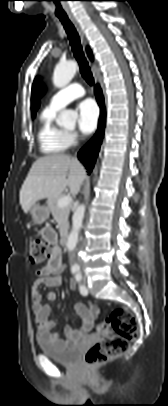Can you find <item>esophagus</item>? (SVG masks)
Instances as JSON below:
<instances>
[{"instance_id": "esophagus-1", "label": "esophagus", "mask_w": 168, "mask_h": 406, "mask_svg": "<svg viewBox=\"0 0 168 406\" xmlns=\"http://www.w3.org/2000/svg\"><path fill=\"white\" fill-rule=\"evenodd\" d=\"M71 22H72L73 25L75 26V28H76V30H77L79 36H80L81 44H82V46H83L84 52L86 53V50H85V48H86V40H85V37H84V32H83L81 26L79 25V23H78L74 18H71ZM96 81H97V79H96V77H95V82H96Z\"/></svg>"}]
</instances>
